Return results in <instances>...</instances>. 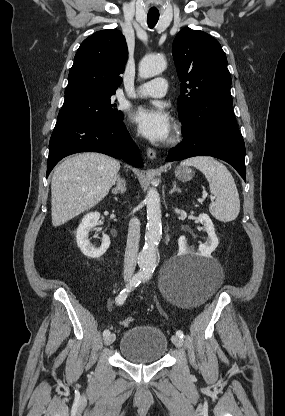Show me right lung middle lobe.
<instances>
[{"mask_svg":"<svg viewBox=\"0 0 285 416\" xmlns=\"http://www.w3.org/2000/svg\"><path fill=\"white\" fill-rule=\"evenodd\" d=\"M111 97L65 96L57 123H119L124 115L116 109Z\"/></svg>","mask_w":285,"mask_h":416,"instance_id":"1","label":"right lung middle lobe"}]
</instances>
